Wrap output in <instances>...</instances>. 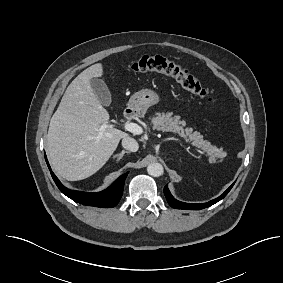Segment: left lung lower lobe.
<instances>
[{
	"instance_id": "1",
	"label": "left lung lower lobe",
	"mask_w": 283,
	"mask_h": 283,
	"mask_svg": "<svg viewBox=\"0 0 283 283\" xmlns=\"http://www.w3.org/2000/svg\"><path fill=\"white\" fill-rule=\"evenodd\" d=\"M233 185H234V183L218 198L213 199V200H211L207 203H202V204H189V203L177 201L176 199L173 198V196L171 195L167 186H165V188H164V194H165V197H166L169 205L172 206L173 208L187 209V210H199V209H203V208L212 206L213 204H215L218 201H220L221 199H223L227 195V193L231 190Z\"/></svg>"
}]
</instances>
